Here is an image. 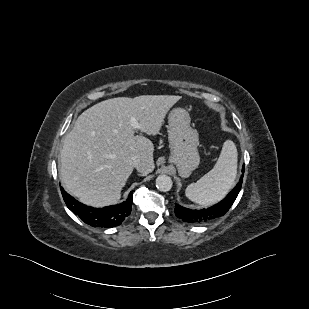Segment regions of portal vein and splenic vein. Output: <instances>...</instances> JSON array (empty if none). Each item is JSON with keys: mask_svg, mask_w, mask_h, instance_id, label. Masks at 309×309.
<instances>
[{"mask_svg": "<svg viewBox=\"0 0 309 309\" xmlns=\"http://www.w3.org/2000/svg\"><path fill=\"white\" fill-rule=\"evenodd\" d=\"M130 122H131V125L134 129H140L141 128V125L138 123L136 118H131Z\"/></svg>", "mask_w": 309, "mask_h": 309, "instance_id": "18ae733b", "label": "portal vein and splenic vein"}]
</instances>
